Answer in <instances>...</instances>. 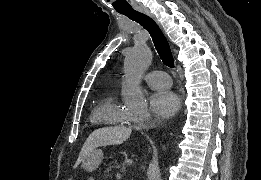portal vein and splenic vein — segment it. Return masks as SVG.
I'll return each instance as SVG.
<instances>
[{"mask_svg":"<svg viewBox=\"0 0 261 180\" xmlns=\"http://www.w3.org/2000/svg\"><path fill=\"white\" fill-rule=\"evenodd\" d=\"M124 176V173L123 172H117L116 173V178H121Z\"/></svg>","mask_w":261,"mask_h":180,"instance_id":"obj_1","label":"portal vein and splenic vein"}]
</instances>
